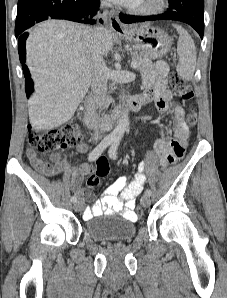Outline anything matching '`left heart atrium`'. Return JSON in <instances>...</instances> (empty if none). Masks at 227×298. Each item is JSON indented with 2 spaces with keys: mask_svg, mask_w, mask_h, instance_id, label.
Instances as JSON below:
<instances>
[{
  "mask_svg": "<svg viewBox=\"0 0 227 298\" xmlns=\"http://www.w3.org/2000/svg\"><path fill=\"white\" fill-rule=\"evenodd\" d=\"M110 1H113L114 3L121 4L124 6H132V5H135L138 0H110Z\"/></svg>",
  "mask_w": 227,
  "mask_h": 298,
  "instance_id": "1",
  "label": "left heart atrium"
}]
</instances>
